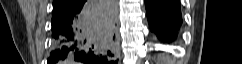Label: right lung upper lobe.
<instances>
[{"instance_id":"1","label":"right lung upper lobe","mask_w":242,"mask_h":64,"mask_svg":"<svg viewBox=\"0 0 242 64\" xmlns=\"http://www.w3.org/2000/svg\"><path fill=\"white\" fill-rule=\"evenodd\" d=\"M75 0H53V13L67 10L74 4Z\"/></svg>"}]
</instances>
